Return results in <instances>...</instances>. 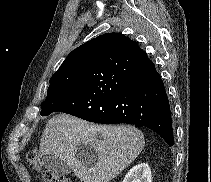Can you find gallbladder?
I'll return each instance as SVG.
<instances>
[{"mask_svg": "<svg viewBox=\"0 0 211 182\" xmlns=\"http://www.w3.org/2000/svg\"><path fill=\"white\" fill-rule=\"evenodd\" d=\"M75 152L76 156L83 161L87 159V155L90 156V158H92L93 160H96L97 157L95 151L87 145L77 146ZM41 161L43 167L53 174L67 175L71 172L69 166L63 163L61 159L52 155L43 156Z\"/></svg>", "mask_w": 211, "mask_h": 182, "instance_id": "bac80fb5", "label": "gallbladder"}]
</instances>
